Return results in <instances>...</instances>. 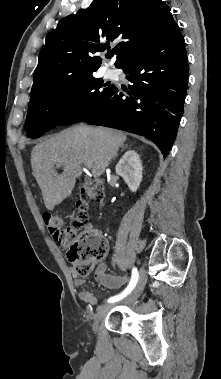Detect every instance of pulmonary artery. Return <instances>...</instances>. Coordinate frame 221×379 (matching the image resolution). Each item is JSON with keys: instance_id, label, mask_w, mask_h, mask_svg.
Returning <instances> with one entry per match:
<instances>
[{"instance_id": "pulmonary-artery-1", "label": "pulmonary artery", "mask_w": 221, "mask_h": 379, "mask_svg": "<svg viewBox=\"0 0 221 379\" xmlns=\"http://www.w3.org/2000/svg\"><path fill=\"white\" fill-rule=\"evenodd\" d=\"M115 75V71L113 70V69H108L107 71H106V76H108V77H112V76H114Z\"/></svg>"}]
</instances>
